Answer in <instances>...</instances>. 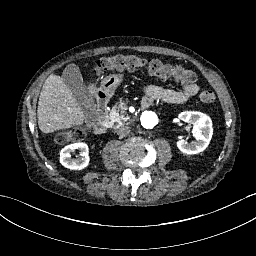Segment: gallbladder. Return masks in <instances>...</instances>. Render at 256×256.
<instances>
[{"label":"gallbladder","mask_w":256,"mask_h":256,"mask_svg":"<svg viewBox=\"0 0 256 256\" xmlns=\"http://www.w3.org/2000/svg\"><path fill=\"white\" fill-rule=\"evenodd\" d=\"M62 81L73 93L84 113L86 120H96V103L85 87L79 67L75 64L67 65L62 73Z\"/></svg>","instance_id":"obj_1"}]
</instances>
